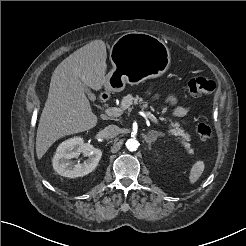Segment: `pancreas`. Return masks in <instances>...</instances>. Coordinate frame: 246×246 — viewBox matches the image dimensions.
<instances>
[{
	"label": "pancreas",
	"instance_id": "1",
	"mask_svg": "<svg viewBox=\"0 0 246 246\" xmlns=\"http://www.w3.org/2000/svg\"><path fill=\"white\" fill-rule=\"evenodd\" d=\"M132 105H139V107L141 109L148 108V102L147 101H144L143 98L139 97L138 95L133 97L131 94H128L125 97H123L121 104H120V108L122 109V111H124V110L131 111L133 108ZM151 110L154 111V108L151 107ZM161 120L167 121L168 118L161 117ZM169 121L171 122V124L169 125L170 133L177 136L178 137L177 139H180V143L186 149H189L190 144L187 142L190 141V135L185 131L184 128L181 127L180 123L172 122L171 119H169Z\"/></svg>",
	"mask_w": 246,
	"mask_h": 246
}]
</instances>
